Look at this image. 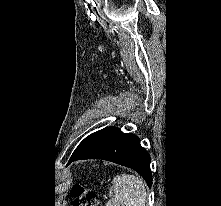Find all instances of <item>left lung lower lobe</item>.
Here are the masks:
<instances>
[{
  "mask_svg": "<svg viewBox=\"0 0 221 206\" xmlns=\"http://www.w3.org/2000/svg\"><path fill=\"white\" fill-rule=\"evenodd\" d=\"M81 159H103L132 168L151 187V159L134 134H125L116 127H108L81 152L71 156L69 164Z\"/></svg>",
  "mask_w": 221,
  "mask_h": 206,
  "instance_id": "left-lung-lower-lobe-1",
  "label": "left lung lower lobe"
}]
</instances>
